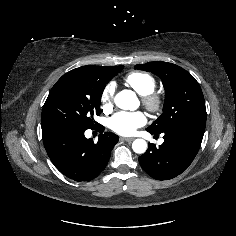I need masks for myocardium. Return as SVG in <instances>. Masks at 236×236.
<instances>
[{
	"label": "myocardium",
	"mask_w": 236,
	"mask_h": 236,
	"mask_svg": "<svg viewBox=\"0 0 236 236\" xmlns=\"http://www.w3.org/2000/svg\"><path fill=\"white\" fill-rule=\"evenodd\" d=\"M141 100L146 109L152 113L161 111L164 105V99L162 95L155 91L141 95Z\"/></svg>",
	"instance_id": "1"
}]
</instances>
